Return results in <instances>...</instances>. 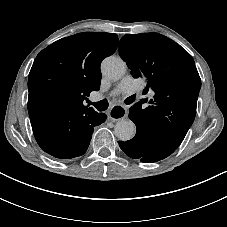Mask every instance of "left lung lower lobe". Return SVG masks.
I'll return each instance as SVG.
<instances>
[{"mask_svg":"<svg viewBox=\"0 0 227 227\" xmlns=\"http://www.w3.org/2000/svg\"><path fill=\"white\" fill-rule=\"evenodd\" d=\"M134 113H129L133 121ZM120 148L131 158L141 162L152 163L162 160L176 149L155 139L149 132L137 128L136 135L129 141H118Z\"/></svg>","mask_w":227,"mask_h":227,"instance_id":"0a47b994","label":"left lung lower lobe"}]
</instances>
